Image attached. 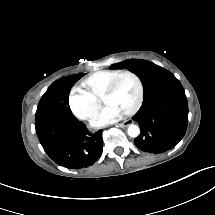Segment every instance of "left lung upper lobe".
<instances>
[{"mask_svg": "<svg viewBox=\"0 0 215 215\" xmlns=\"http://www.w3.org/2000/svg\"><path fill=\"white\" fill-rule=\"evenodd\" d=\"M113 67L135 71L144 86L143 105L133 117L141 130L135 145L148 153L175 147L188 123L187 98L180 82L164 68L144 60H129Z\"/></svg>", "mask_w": 215, "mask_h": 215, "instance_id": "1", "label": "left lung upper lobe"}]
</instances>
